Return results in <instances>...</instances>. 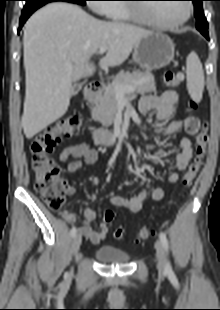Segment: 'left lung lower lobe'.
Instances as JSON below:
<instances>
[{
	"label": "left lung lower lobe",
	"mask_w": 220,
	"mask_h": 310,
	"mask_svg": "<svg viewBox=\"0 0 220 310\" xmlns=\"http://www.w3.org/2000/svg\"><path fill=\"white\" fill-rule=\"evenodd\" d=\"M207 39H209V35H208V33H206V34H203Z\"/></svg>",
	"instance_id": "left-lung-lower-lobe-1"
}]
</instances>
